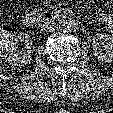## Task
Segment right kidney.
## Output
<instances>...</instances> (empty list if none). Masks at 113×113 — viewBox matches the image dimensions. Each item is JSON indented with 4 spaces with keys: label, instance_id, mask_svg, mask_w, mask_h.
I'll return each instance as SVG.
<instances>
[{
    "label": "right kidney",
    "instance_id": "right-kidney-1",
    "mask_svg": "<svg viewBox=\"0 0 113 113\" xmlns=\"http://www.w3.org/2000/svg\"><path fill=\"white\" fill-rule=\"evenodd\" d=\"M25 44L22 52L19 54V45ZM32 39L26 33H19L15 40L9 46L5 53V60L13 66H23L31 61Z\"/></svg>",
    "mask_w": 113,
    "mask_h": 113
}]
</instances>
